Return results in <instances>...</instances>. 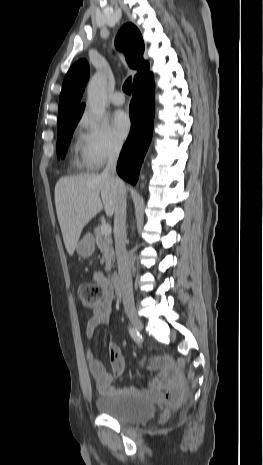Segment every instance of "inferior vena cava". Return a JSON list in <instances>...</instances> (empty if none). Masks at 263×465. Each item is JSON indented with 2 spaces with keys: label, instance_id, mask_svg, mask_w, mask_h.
<instances>
[{
  "label": "inferior vena cava",
  "instance_id": "obj_1",
  "mask_svg": "<svg viewBox=\"0 0 263 465\" xmlns=\"http://www.w3.org/2000/svg\"><path fill=\"white\" fill-rule=\"evenodd\" d=\"M122 142H115L108 153V162L102 176L108 178L118 189V201L114 213L115 252L117 258L120 287L125 309H134L131 277V262L126 250V189L116 172L117 160Z\"/></svg>",
  "mask_w": 263,
  "mask_h": 465
}]
</instances>
